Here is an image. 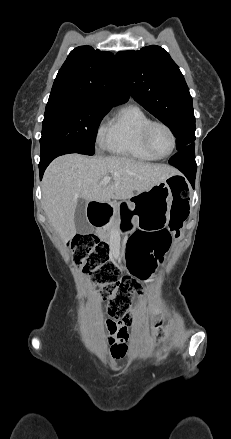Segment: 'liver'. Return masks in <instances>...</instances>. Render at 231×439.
Returning <instances> with one entry per match:
<instances>
[{"mask_svg": "<svg viewBox=\"0 0 231 439\" xmlns=\"http://www.w3.org/2000/svg\"><path fill=\"white\" fill-rule=\"evenodd\" d=\"M109 174L113 175L114 181L100 184ZM177 174L178 171L168 165L126 157L64 155L56 158L44 173L43 209L56 232L67 241L76 234L74 214L79 199L96 202L125 200Z\"/></svg>", "mask_w": 231, "mask_h": 439, "instance_id": "1", "label": "liver"}]
</instances>
